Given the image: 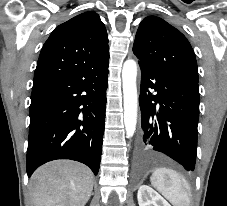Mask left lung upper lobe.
Instances as JSON below:
<instances>
[{
	"mask_svg": "<svg viewBox=\"0 0 227 206\" xmlns=\"http://www.w3.org/2000/svg\"><path fill=\"white\" fill-rule=\"evenodd\" d=\"M133 52L142 65L198 82L197 62L189 41L159 17L148 16L140 23Z\"/></svg>",
	"mask_w": 227,
	"mask_h": 206,
	"instance_id": "5c2ea615",
	"label": "left lung upper lobe"
}]
</instances>
